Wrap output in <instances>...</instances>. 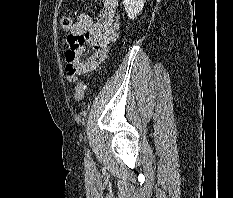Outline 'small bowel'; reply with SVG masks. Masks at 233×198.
I'll list each match as a JSON object with an SVG mask.
<instances>
[{
	"label": "small bowel",
	"instance_id": "c3829d8e",
	"mask_svg": "<svg viewBox=\"0 0 233 198\" xmlns=\"http://www.w3.org/2000/svg\"><path fill=\"white\" fill-rule=\"evenodd\" d=\"M120 0H102V9L98 19L94 20L88 14H80L70 28L68 35L69 49L65 53H73L78 71L68 74L67 80L75 83L78 76L95 69L107 56L109 44L114 41L119 31V8ZM90 46L89 55L85 45Z\"/></svg>",
	"mask_w": 233,
	"mask_h": 198
}]
</instances>
